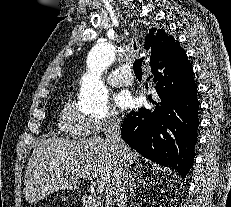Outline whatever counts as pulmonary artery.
<instances>
[{"instance_id": "1", "label": "pulmonary artery", "mask_w": 231, "mask_h": 207, "mask_svg": "<svg viewBox=\"0 0 231 207\" xmlns=\"http://www.w3.org/2000/svg\"><path fill=\"white\" fill-rule=\"evenodd\" d=\"M133 77L127 66H122L108 75L107 81L112 86H127L131 84Z\"/></svg>"}]
</instances>
